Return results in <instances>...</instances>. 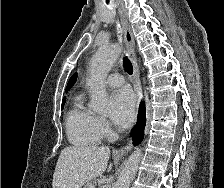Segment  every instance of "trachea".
Returning a JSON list of instances; mask_svg holds the SVG:
<instances>
[{
    "mask_svg": "<svg viewBox=\"0 0 224 188\" xmlns=\"http://www.w3.org/2000/svg\"><path fill=\"white\" fill-rule=\"evenodd\" d=\"M123 66H124L125 71L128 74L132 75L133 67H132V64H131L130 60L127 57L123 58Z\"/></svg>",
    "mask_w": 224,
    "mask_h": 188,
    "instance_id": "obj_1",
    "label": "trachea"
}]
</instances>
